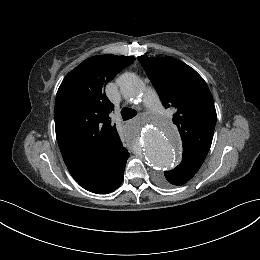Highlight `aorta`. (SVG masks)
I'll return each instance as SVG.
<instances>
[{
    "label": "aorta",
    "instance_id": "aorta-1",
    "mask_svg": "<svg viewBox=\"0 0 260 260\" xmlns=\"http://www.w3.org/2000/svg\"><path fill=\"white\" fill-rule=\"evenodd\" d=\"M120 90L128 99H134L142 93L144 83L133 73H125L121 76ZM140 134L142 154L145 161L153 168L164 171L170 170L178 161L180 148L178 133L169 123H152L137 130Z\"/></svg>",
    "mask_w": 260,
    "mask_h": 260
}]
</instances>
